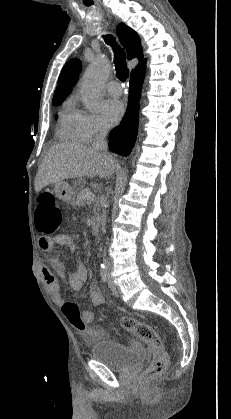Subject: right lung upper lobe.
<instances>
[{"instance_id": "obj_1", "label": "right lung upper lobe", "mask_w": 231, "mask_h": 419, "mask_svg": "<svg viewBox=\"0 0 231 419\" xmlns=\"http://www.w3.org/2000/svg\"><path fill=\"white\" fill-rule=\"evenodd\" d=\"M117 34L122 45L127 51L128 59L131 60L138 57V59L141 60L143 57L142 47L137 33L124 23H120L117 26ZM145 62V59L140 61L132 72L143 66ZM80 71L81 61L77 58L70 60L64 65L58 79V86L54 92L53 100L64 99L65 96L71 92Z\"/></svg>"}]
</instances>
